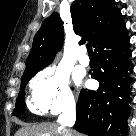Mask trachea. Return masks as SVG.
<instances>
[{"label": "trachea", "mask_w": 136, "mask_h": 136, "mask_svg": "<svg viewBox=\"0 0 136 136\" xmlns=\"http://www.w3.org/2000/svg\"><path fill=\"white\" fill-rule=\"evenodd\" d=\"M86 48H87L88 54H89V55H93V50H92V46H91L90 43H88V44L86 45Z\"/></svg>", "instance_id": "obj_1"}]
</instances>
